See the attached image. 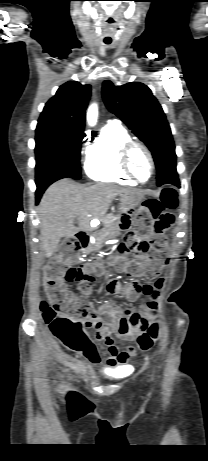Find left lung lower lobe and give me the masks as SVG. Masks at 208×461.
I'll return each instance as SVG.
<instances>
[{
    "label": "left lung lower lobe",
    "mask_w": 208,
    "mask_h": 461,
    "mask_svg": "<svg viewBox=\"0 0 208 461\" xmlns=\"http://www.w3.org/2000/svg\"><path fill=\"white\" fill-rule=\"evenodd\" d=\"M165 183H167V184H173V185L179 187L180 182H179V179H178V175L173 176V177H170V178L164 180V181H163V184H165Z\"/></svg>",
    "instance_id": "1"
}]
</instances>
